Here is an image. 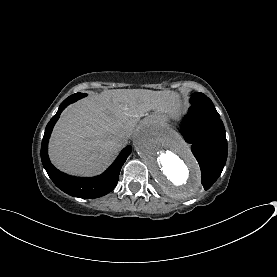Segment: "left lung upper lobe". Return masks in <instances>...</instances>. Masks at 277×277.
I'll return each mask as SVG.
<instances>
[{
  "label": "left lung upper lobe",
  "instance_id": "5c2ea615",
  "mask_svg": "<svg viewBox=\"0 0 277 277\" xmlns=\"http://www.w3.org/2000/svg\"><path fill=\"white\" fill-rule=\"evenodd\" d=\"M191 107L216 110L212 101L203 93H194L190 99Z\"/></svg>",
  "mask_w": 277,
  "mask_h": 277
}]
</instances>
